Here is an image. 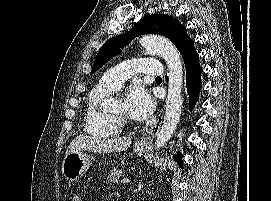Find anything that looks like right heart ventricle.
<instances>
[{
	"label": "right heart ventricle",
	"instance_id": "obj_1",
	"mask_svg": "<svg viewBox=\"0 0 271 201\" xmlns=\"http://www.w3.org/2000/svg\"><path fill=\"white\" fill-rule=\"evenodd\" d=\"M111 92L102 85L95 87L87 96L84 117L85 131L95 137H112L122 132L123 126L102 107L103 100Z\"/></svg>",
	"mask_w": 271,
	"mask_h": 201
}]
</instances>
